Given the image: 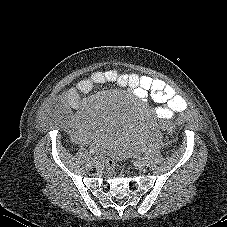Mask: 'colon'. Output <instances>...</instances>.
I'll use <instances>...</instances> for the list:
<instances>
[{"label": "colon", "mask_w": 227, "mask_h": 227, "mask_svg": "<svg viewBox=\"0 0 227 227\" xmlns=\"http://www.w3.org/2000/svg\"><path fill=\"white\" fill-rule=\"evenodd\" d=\"M162 126L167 131H170L173 129L174 131L179 132L183 129L184 124L180 117H173L172 119L170 118L165 119L162 123ZM107 164L110 168H112L114 165L112 160H108Z\"/></svg>", "instance_id": "5ec220e1"}]
</instances>
